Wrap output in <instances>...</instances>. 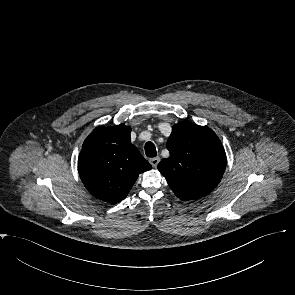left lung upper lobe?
<instances>
[{
    "label": "left lung upper lobe",
    "instance_id": "1",
    "mask_svg": "<svg viewBox=\"0 0 295 295\" xmlns=\"http://www.w3.org/2000/svg\"><path fill=\"white\" fill-rule=\"evenodd\" d=\"M170 152L158 164L175 195L184 201L208 195L219 184L226 154L217 135L189 121L175 124L167 141Z\"/></svg>",
    "mask_w": 295,
    "mask_h": 295
}]
</instances>
